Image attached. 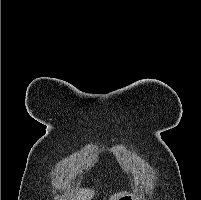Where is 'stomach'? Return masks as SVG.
Wrapping results in <instances>:
<instances>
[{
    "instance_id": "stomach-1",
    "label": "stomach",
    "mask_w": 201,
    "mask_h": 200,
    "mask_svg": "<svg viewBox=\"0 0 201 200\" xmlns=\"http://www.w3.org/2000/svg\"><path fill=\"white\" fill-rule=\"evenodd\" d=\"M119 200H138L134 195L127 194L119 198Z\"/></svg>"
}]
</instances>
